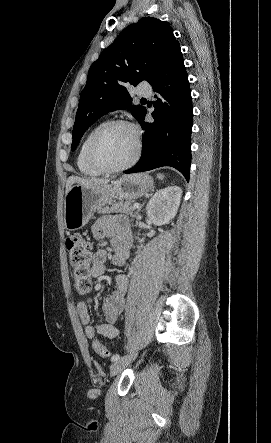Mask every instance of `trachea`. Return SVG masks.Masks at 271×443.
<instances>
[{
	"label": "trachea",
	"instance_id": "1",
	"mask_svg": "<svg viewBox=\"0 0 271 443\" xmlns=\"http://www.w3.org/2000/svg\"><path fill=\"white\" fill-rule=\"evenodd\" d=\"M140 101H147V100H146V98H141V100H140Z\"/></svg>",
	"mask_w": 271,
	"mask_h": 443
}]
</instances>
